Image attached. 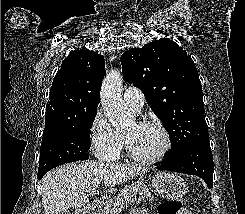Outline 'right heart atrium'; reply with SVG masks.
Listing matches in <instances>:
<instances>
[{"label": "right heart atrium", "instance_id": "d8ad5b80", "mask_svg": "<svg viewBox=\"0 0 245 214\" xmlns=\"http://www.w3.org/2000/svg\"><path fill=\"white\" fill-rule=\"evenodd\" d=\"M91 148L102 161L115 160L122 149L123 139L102 112H97L89 129Z\"/></svg>", "mask_w": 245, "mask_h": 214}]
</instances>
